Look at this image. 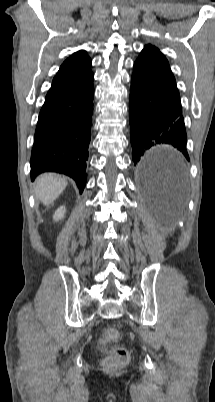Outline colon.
I'll use <instances>...</instances> for the list:
<instances>
[{
    "mask_svg": "<svg viewBox=\"0 0 215 402\" xmlns=\"http://www.w3.org/2000/svg\"><path fill=\"white\" fill-rule=\"evenodd\" d=\"M120 337L119 331L116 328L110 327L105 329L102 336V343L108 346L116 342ZM129 361V353L122 347H111L108 349V354L104 359V366L108 369H117L125 366Z\"/></svg>",
    "mask_w": 215,
    "mask_h": 402,
    "instance_id": "obj_1",
    "label": "colon"
}]
</instances>
